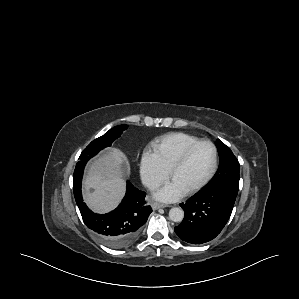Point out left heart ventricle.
I'll return each instance as SVG.
<instances>
[{
	"label": "left heart ventricle",
	"instance_id": "obj_1",
	"mask_svg": "<svg viewBox=\"0 0 299 299\" xmlns=\"http://www.w3.org/2000/svg\"><path fill=\"white\" fill-rule=\"evenodd\" d=\"M214 152L209 144L198 146L189 156L187 162L175 173L173 182L186 191L201 182L210 172Z\"/></svg>",
	"mask_w": 299,
	"mask_h": 299
}]
</instances>
